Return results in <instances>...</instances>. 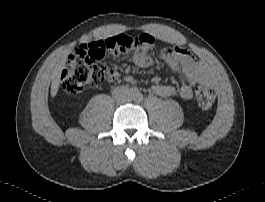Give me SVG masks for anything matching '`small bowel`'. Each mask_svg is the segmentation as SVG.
Masks as SVG:
<instances>
[{"instance_id":"c3829d8e","label":"small bowel","mask_w":265,"mask_h":202,"mask_svg":"<svg viewBox=\"0 0 265 202\" xmlns=\"http://www.w3.org/2000/svg\"><path fill=\"white\" fill-rule=\"evenodd\" d=\"M152 38V34H148ZM76 56L82 55H94L95 57H102L104 54L94 53L91 48V44H83L77 47L74 52ZM162 59L167 64V66L176 72H179L183 77V84L176 88L172 85L158 84V79H154L156 83L153 86V91L161 97H171L178 95L183 100H191L194 96V88L197 83L208 82L209 78L204 65L196 61L191 55L186 53L179 46H172L164 48L162 51ZM133 61L136 65L140 67H149L152 65V59L145 53L144 50H139L134 53ZM117 78L112 81L116 82ZM125 81L132 83L134 81L131 75L125 77Z\"/></svg>"}]
</instances>
